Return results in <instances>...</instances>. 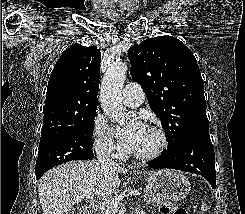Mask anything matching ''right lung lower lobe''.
<instances>
[{
    "label": "right lung lower lobe",
    "mask_w": 245,
    "mask_h": 214,
    "mask_svg": "<svg viewBox=\"0 0 245 214\" xmlns=\"http://www.w3.org/2000/svg\"><path fill=\"white\" fill-rule=\"evenodd\" d=\"M44 173H39V174H36V178L37 180L43 175Z\"/></svg>",
    "instance_id": "1"
}]
</instances>
